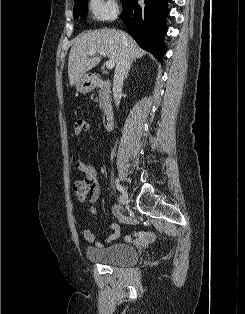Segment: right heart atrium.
I'll list each match as a JSON object with an SVG mask.
<instances>
[{
    "instance_id": "1",
    "label": "right heart atrium",
    "mask_w": 245,
    "mask_h": 314,
    "mask_svg": "<svg viewBox=\"0 0 245 314\" xmlns=\"http://www.w3.org/2000/svg\"><path fill=\"white\" fill-rule=\"evenodd\" d=\"M89 10L93 19L109 21L118 14V6L115 0H89Z\"/></svg>"
}]
</instances>
